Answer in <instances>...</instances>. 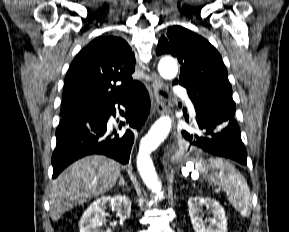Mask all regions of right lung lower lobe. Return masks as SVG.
<instances>
[{
    "label": "right lung lower lobe",
    "mask_w": 289,
    "mask_h": 232,
    "mask_svg": "<svg viewBox=\"0 0 289 232\" xmlns=\"http://www.w3.org/2000/svg\"><path fill=\"white\" fill-rule=\"evenodd\" d=\"M116 103L126 107L125 118L129 125L140 130L150 110L145 87L141 84L128 98ZM116 103L61 117L56 130L57 145L52 155L53 178L75 160L90 154H103L122 164L128 163L134 133L127 130L118 134L107 128L109 117L116 114Z\"/></svg>",
    "instance_id": "obj_1"
}]
</instances>
